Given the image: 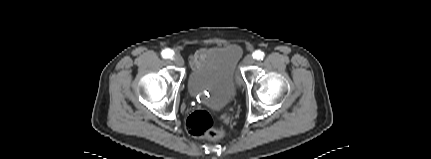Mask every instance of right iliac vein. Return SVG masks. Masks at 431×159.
Returning <instances> with one entry per match:
<instances>
[{"label":"right iliac vein","instance_id":"right-iliac-vein-1","mask_svg":"<svg viewBox=\"0 0 431 159\" xmlns=\"http://www.w3.org/2000/svg\"><path fill=\"white\" fill-rule=\"evenodd\" d=\"M173 61L178 66H183L184 65V60H183V58L180 55H175L173 57Z\"/></svg>","mask_w":431,"mask_h":159}]
</instances>
